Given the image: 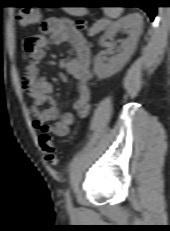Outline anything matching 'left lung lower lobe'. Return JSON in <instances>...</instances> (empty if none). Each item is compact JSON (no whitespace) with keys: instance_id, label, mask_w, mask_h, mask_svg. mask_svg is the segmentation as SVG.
<instances>
[{"instance_id":"0a47b994","label":"left lung lower lobe","mask_w":170,"mask_h":231,"mask_svg":"<svg viewBox=\"0 0 170 231\" xmlns=\"http://www.w3.org/2000/svg\"><path fill=\"white\" fill-rule=\"evenodd\" d=\"M114 3H119V2H114ZM133 3L139 4V6L137 7L142 8L149 15L151 21L154 20V17L156 15V10H155L156 6L154 5L153 0H134Z\"/></svg>"}]
</instances>
